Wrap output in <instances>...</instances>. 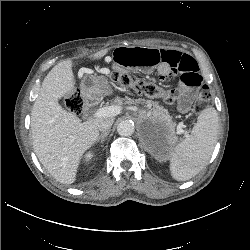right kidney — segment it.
Returning <instances> with one entry per match:
<instances>
[{"mask_svg": "<svg viewBox=\"0 0 250 250\" xmlns=\"http://www.w3.org/2000/svg\"><path fill=\"white\" fill-rule=\"evenodd\" d=\"M92 157H93V153L88 152V153L86 154V156H85V160H86V161H90V160L92 159Z\"/></svg>", "mask_w": 250, "mask_h": 250, "instance_id": "right-kidney-1", "label": "right kidney"}]
</instances>
